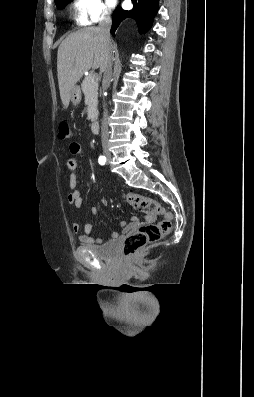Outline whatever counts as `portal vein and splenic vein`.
Wrapping results in <instances>:
<instances>
[{"label":"portal vein and splenic vein","instance_id":"1","mask_svg":"<svg viewBox=\"0 0 254 397\" xmlns=\"http://www.w3.org/2000/svg\"><path fill=\"white\" fill-rule=\"evenodd\" d=\"M97 78V75H93V79Z\"/></svg>","mask_w":254,"mask_h":397}]
</instances>
